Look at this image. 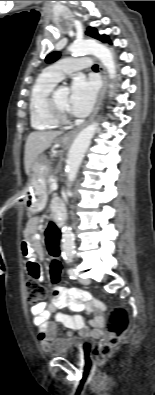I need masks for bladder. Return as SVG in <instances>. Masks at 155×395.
Instances as JSON below:
<instances>
[{
	"label": "bladder",
	"instance_id": "31cf9c89",
	"mask_svg": "<svg viewBox=\"0 0 155 395\" xmlns=\"http://www.w3.org/2000/svg\"><path fill=\"white\" fill-rule=\"evenodd\" d=\"M90 349V344L77 338H59L53 341L50 352L57 357L82 359Z\"/></svg>",
	"mask_w": 155,
	"mask_h": 395
}]
</instances>
